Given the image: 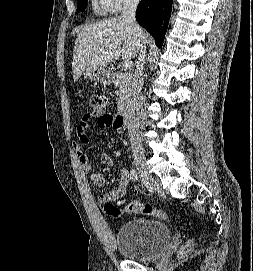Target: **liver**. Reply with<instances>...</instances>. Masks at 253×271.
Wrapping results in <instances>:
<instances>
[{
  "mask_svg": "<svg viewBox=\"0 0 253 271\" xmlns=\"http://www.w3.org/2000/svg\"><path fill=\"white\" fill-rule=\"evenodd\" d=\"M143 37L145 46L149 38L144 31ZM138 43L133 27L121 17L109 18L82 27L77 32L73 52L74 81H77L86 70L106 67L121 55L124 60L135 58L138 55Z\"/></svg>",
  "mask_w": 253,
  "mask_h": 271,
  "instance_id": "liver-1",
  "label": "liver"
}]
</instances>
